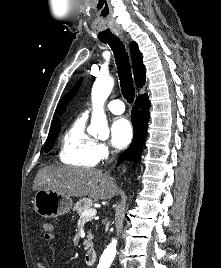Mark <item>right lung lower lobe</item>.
Segmentation results:
<instances>
[{
  "label": "right lung lower lobe",
  "mask_w": 221,
  "mask_h": 268,
  "mask_svg": "<svg viewBox=\"0 0 221 268\" xmlns=\"http://www.w3.org/2000/svg\"><path fill=\"white\" fill-rule=\"evenodd\" d=\"M150 101L149 97L141 95L137 97L135 106L131 112V120L134 128V138L130 147L118 158V165L128 160L138 162L147 136V124L149 121Z\"/></svg>",
  "instance_id": "obj_1"
}]
</instances>
